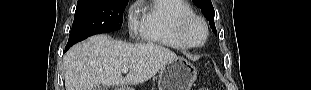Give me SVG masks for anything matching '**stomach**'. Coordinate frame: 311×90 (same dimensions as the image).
Returning <instances> with one entry per match:
<instances>
[{
  "mask_svg": "<svg viewBox=\"0 0 311 90\" xmlns=\"http://www.w3.org/2000/svg\"><path fill=\"white\" fill-rule=\"evenodd\" d=\"M197 79V70L184 58H176L160 69L158 90H190Z\"/></svg>",
  "mask_w": 311,
  "mask_h": 90,
  "instance_id": "1",
  "label": "stomach"
}]
</instances>
